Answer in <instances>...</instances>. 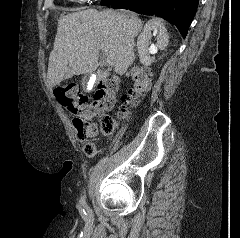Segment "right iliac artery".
<instances>
[{"label":"right iliac artery","instance_id":"1","mask_svg":"<svg viewBox=\"0 0 240 238\" xmlns=\"http://www.w3.org/2000/svg\"><path fill=\"white\" fill-rule=\"evenodd\" d=\"M80 204L83 205V206L86 205V203H85V197H82V198H81ZM83 213L86 214L84 210H83Z\"/></svg>","mask_w":240,"mask_h":238}]
</instances>
